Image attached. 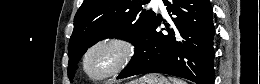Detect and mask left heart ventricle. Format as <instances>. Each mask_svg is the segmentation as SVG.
Masks as SVG:
<instances>
[{
	"label": "left heart ventricle",
	"mask_w": 260,
	"mask_h": 84,
	"mask_svg": "<svg viewBox=\"0 0 260 84\" xmlns=\"http://www.w3.org/2000/svg\"><path fill=\"white\" fill-rule=\"evenodd\" d=\"M113 62V53L108 49L97 51L90 61V68L93 73L100 74L108 70Z\"/></svg>",
	"instance_id": "1"
}]
</instances>
